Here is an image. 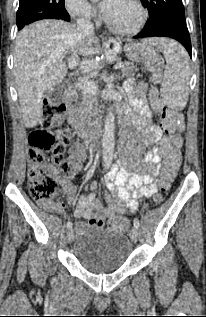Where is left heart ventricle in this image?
I'll list each match as a JSON object with an SVG mask.
<instances>
[{
  "label": "left heart ventricle",
  "mask_w": 206,
  "mask_h": 317,
  "mask_svg": "<svg viewBox=\"0 0 206 317\" xmlns=\"http://www.w3.org/2000/svg\"><path fill=\"white\" fill-rule=\"evenodd\" d=\"M106 17L118 27L131 28L139 21L140 12L130 0H113Z\"/></svg>",
  "instance_id": "1"
}]
</instances>
